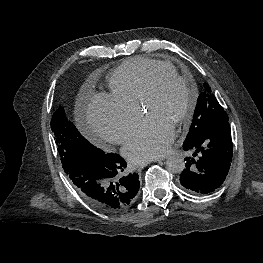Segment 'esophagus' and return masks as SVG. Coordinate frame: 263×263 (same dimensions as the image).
<instances>
[{
    "instance_id": "34e87169",
    "label": "esophagus",
    "mask_w": 263,
    "mask_h": 263,
    "mask_svg": "<svg viewBox=\"0 0 263 263\" xmlns=\"http://www.w3.org/2000/svg\"><path fill=\"white\" fill-rule=\"evenodd\" d=\"M161 160H163V159H157L156 161H161ZM147 164L148 163H142V164L138 165L137 167L138 168H144Z\"/></svg>"
}]
</instances>
